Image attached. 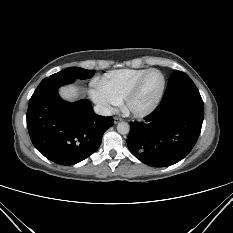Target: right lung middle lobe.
Segmentation results:
<instances>
[{
	"label": "right lung middle lobe",
	"instance_id": "dd1d6c3e",
	"mask_svg": "<svg viewBox=\"0 0 233 233\" xmlns=\"http://www.w3.org/2000/svg\"><path fill=\"white\" fill-rule=\"evenodd\" d=\"M94 73L95 70H86L79 67H70L51 76L75 80L91 78L94 75Z\"/></svg>",
	"mask_w": 233,
	"mask_h": 233
}]
</instances>
